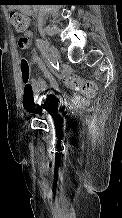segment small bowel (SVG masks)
I'll use <instances>...</instances> for the list:
<instances>
[{
  "instance_id": "1",
  "label": "small bowel",
  "mask_w": 122,
  "mask_h": 218,
  "mask_svg": "<svg viewBox=\"0 0 122 218\" xmlns=\"http://www.w3.org/2000/svg\"><path fill=\"white\" fill-rule=\"evenodd\" d=\"M32 40H33V33L30 30H27V31H25L23 33V36L20 38L19 46L21 48H23V49L28 48V47L31 46ZM30 59H31V62L38 64L40 69L45 72L47 78L50 81V86L53 89L57 90L58 89V83L54 80V78L51 76V74L46 70V66H45L44 62L39 58V56L35 52H33L31 54V56H30ZM71 75L72 74H71V72H70V70L68 68H65L62 71V77L64 79L68 78ZM32 85H33L32 95H33V99H34V102H35L37 100V94L39 92L46 91L48 86H47L46 81L41 77H32ZM94 86H95V84H94ZM25 100H26V98L24 96V107H25V109L29 110L26 107ZM42 101H43V104L39 108L36 107V104H35L33 109L29 110V111H34V112H37V113H41L42 111H47L50 106L54 105L55 103H58L60 101V98L53 92H47L41 98L40 104H41Z\"/></svg>"
}]
</instances>
